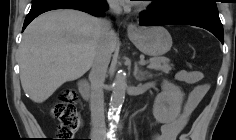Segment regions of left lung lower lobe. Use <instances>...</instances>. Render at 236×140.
Wrapping results in <instances>:
<instances>
[{
    "label": "left lung lower lobe",
    "mask_w": 236,
    "mask_h": 140,
    "mask_svg": "<svg viewBox=\"0 0 236 140\" xmlns=\"http://www.w3.org/2000/svg\"><path fill=\"white\" fill-rule=\"evenodd\" d=\"M173 24L193 25L204 28L213 33L221 43H224L223 26L218 12L195 8L164 10L161 6H154L140 14L141 26Z\"/></svg>",
    "instance_id": "0a47b994"
}]
</instances>
